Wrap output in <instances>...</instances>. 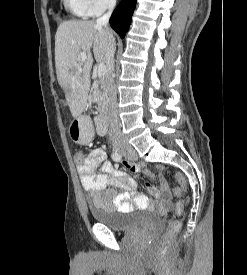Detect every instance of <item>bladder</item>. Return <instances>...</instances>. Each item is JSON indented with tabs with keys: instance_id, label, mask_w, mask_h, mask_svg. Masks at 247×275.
I'll list each match as a JSON object with an SVG mask.
<instances>
[{
	"instance_id": "bladder-1",
	"label": "bladder",
	"mask_w": 247,
	"mask_h": 275,
	"mask_svg": "<svg viewBox=\"0 0 247 275\" xmlns=\"http://www.w3.org/2000/svg\"><path fill=\"white\" fill-rule=\"evenodd\" d=\"M89 211L97 224L117 232L129 231L136 225L154 226L161 221L160 215L152 212H141L139 218L135 219L136 212L110 211L92 204L89 205Z\"/></svg>"
}]
</instances>
